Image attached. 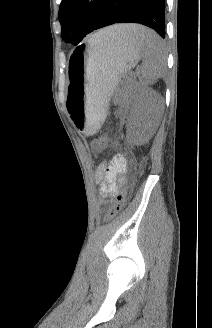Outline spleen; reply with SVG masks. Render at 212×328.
<instances>
[{
    "instance_id": "obj_1",
    "label": "spleen",
    "mask_w": 212,
    "mask_h": 328,
    "mask_svg": "<svg viewBox=\"0 0 212 328\" xmlns=\"http://www.w3.org/2000/svg\"><path fill=\"white\" fill-rule=\"evenodd\" d=\"M135 39L141 50L143 59L140 71L144 85H152L163 75L165 68V46L161 38L152 30L136 25ZM91 41H98L94 37Z\"/></svg>"
}]
</instances>
